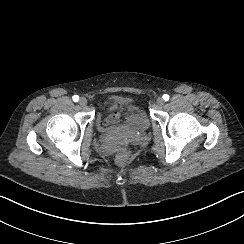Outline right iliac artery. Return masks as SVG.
<instances>
[{"label": "right iliac artery", "mask_w": 244, "mask_h": 244, "mask_svg": "<svg viewBox=\"0 0 244 244\" xmlns=\"http://www.w3.org/2000/svg\"><path fill=\"white\" fill-rule=\"evenodd\" d=\"M78 100H79V96H78V95H74V96H73V101H74V102H78Z\"/></svg>", "instance_id": "obj_1"}]
</instances>
